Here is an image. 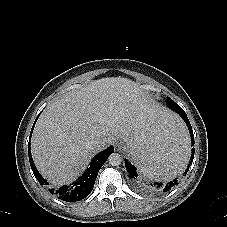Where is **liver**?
Returning a JSON list of instances; mask_svg holds the SVG:
<instances>
[{
    "label": "liver",
    "instance_id": "6515ba94",
    "mask_svg": "<svg viewBox=\"0 0 227 227\" xmlns=\"http://www.w3.org/2000/svg\"><path fill=\"white\" fill-rule=\"evenodd\" d=\"M158 110L132 80L120 77L92 81L51 103L32 136L35 165L52 185L74 181L98 152L90 142L106 146Z\"/></svg>",
    "mask_w": 227,
    "mask_h": 227
}]
</instances>
